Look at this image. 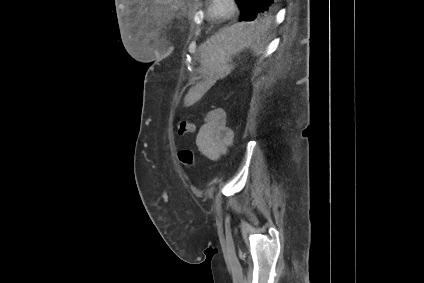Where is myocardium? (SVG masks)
<instances>
[{
  "label": "myocardium",
  "mask_w": 424,
  "mask_h": 283,
  "mask_svg": "<svg viewBox=\"0 0 424 283\" xmlns=\"http://www.w3.org/2000/svg\"><path fill=\"white\" fill-rule=\"evenodd\" d=\"M223 7V11L219 8ZM236 0H211L208 7L209 14L213 19L224 20L234 16L238 11Z\"/></svg>",
  "instance_id": "f54148a6"
}]
</instances>
